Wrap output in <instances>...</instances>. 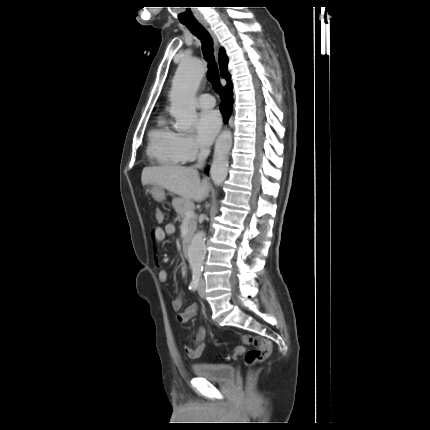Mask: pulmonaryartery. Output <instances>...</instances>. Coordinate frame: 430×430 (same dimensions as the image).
Here are the masks:
<instances>
[{
	"instance_id": "pulmonary-artery-1",
	"label": "pulmonary artery",
	"mask_w": 430,
	"mask_h": 430,
	"mask_svg": "<svg viewBox=\"0 0 430 430\" xmlns=\"http://www.w3.org/2000/svg\"><path fill=\"white\" fill-rule=\"evenodd\" d=\"M198 105L202 109H210L215 106V99L211 94H202L198 98Z\"/></svg>"
}]
</instances>
